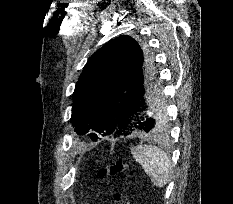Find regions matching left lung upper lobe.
Wrapping results in <instances>:
<instances>
[{
  "label": "left lung upper lobe",
  "instance_id": "left-lung-upper-lobe-1",
  "mask_svg": "<svg viewBox=\"0 0 233 204\" xmlns=\"http://www.w3.org/2000/svg\"><path fill=\"white\" fill-rule=\"evenodd\" d=\"M150 66L154 64L149 52L130 36L122 35L97 50L76 83L71 117L74 131L93 141L101 136H120V102L135 76ZM155 116L163 131L168 121L163 96Z\"/></svg>",
  "mask_w": 233,
  "mask_h": 204
}]
</instances>
